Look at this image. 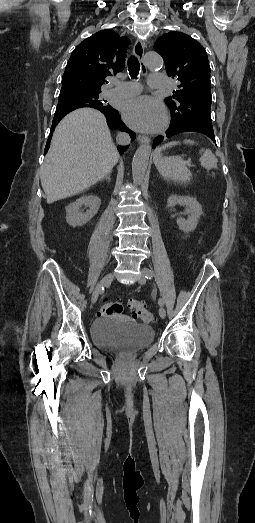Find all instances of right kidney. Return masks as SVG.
I'll return each mask as SVG.
<instances>
[{"instance_id":"ca27d5eb","label":"right kidney","mask_w":255,"mask_h":523,"mask_svg":"<svg viewBox=\"0 0 255 523\" xmlns=\"http://www.w3.org/2000/svg\"><path fill=\"white\" fill-rule=\"evenodd\" d=\"M81 206H89L90 210L80 212ZM100 206L101 200L97 196H81L76 202L66 206V222L73 228L75 226H83V224H86L93 218L94 214H97Z\"/></svg>"}]
</instances>
